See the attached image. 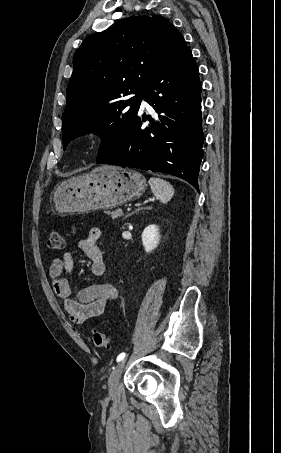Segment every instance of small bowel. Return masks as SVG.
<instances>
[{
	"instance_id": "small-bowel-1",
	"label": "small bowel",
	"mask_w": 281,
	"mask_h": 453,
	"mask_svg": "<svg viewBox=\"0 0 281 453\" xmlns=\"http://www.w3.org/2000/svg\"><path fill=\"white\" fill-rule=\"evenodd\" d=\"M101 234L99 227H93L79 241V249L90 259L89 273L94 277H101L106 272L104 255L97 245ZM64 271L68 274L75 272V260L69 252L53 259L48 278L54 284L56 294L64 299L65 313L78 325H84L90 319L102 315L107 306L119 297L112 285H95L81 288L75 298H70L71 287L63 276Z\"/></svg>"
}]
</instances>
